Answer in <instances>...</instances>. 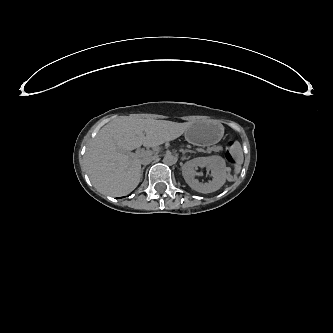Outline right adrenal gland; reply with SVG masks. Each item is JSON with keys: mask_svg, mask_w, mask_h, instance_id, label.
I'll return each instance as SVG.
<instances>
[{"mask_svg": "<svg viewBox=\"0 0 333 333\" xmlns=\"http://www.w3.org/2000/svg\"><path fill=\"white\" fill-rule=\"evenodd\" d=\"M145 167H146V166L142 167V169H141V174H140V175H141V178H143V172H144Z\"/></svg>", "mask_w": 333, "mask_h": 333, "instance_id": "1", "label": "right adrenal gland"}]
</instances>
